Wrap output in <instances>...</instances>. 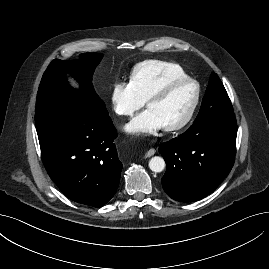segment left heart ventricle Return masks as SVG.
Returning <instances> with one entry per match:
<instances>
[{
    "mask_svg": "<svg viewBox=\"0 0 269 269\" xmlns=\"http://www.w3.org/2000/svg\"><path fill=\"white\" fill-rule=\"evenodd\" d=\"M195 96V86L184 84L173 89L165 98L152 102L147 106L154 112L163 126L180 122L187 114Z\"/></svg>",
    "mask_w": 269,
    "mask_h": 269,
    "instance_id": "left-heart-ventricle-1",
    "label": "left heart ventricle"
}]
</instances>
